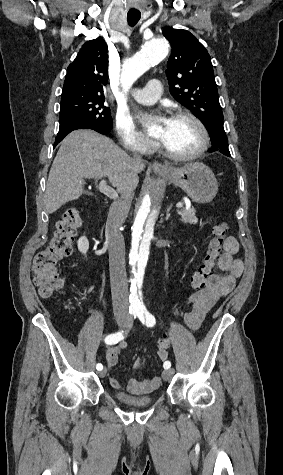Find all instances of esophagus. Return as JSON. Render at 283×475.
<instances>
[{
	"label": "esophagus",
	"mask_w": 283,
	"mask_h": 475,
	"mask_svg": "<svg viewBox=\"0 0 283 475\" xmlns=\"http://www.w3.org/2000/svg\"><path fill=\"white\" fill-rule=\"evenodd\" d=\"M152 168L154 170L162 171V172H168V168L165 165H162L161 163L154 162L152 165Z\"/></svg>",
	"instance_id": "1"
}]
</instances>
